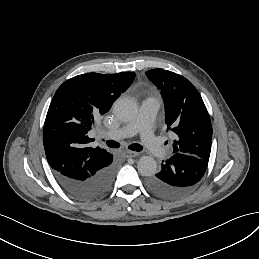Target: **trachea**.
<instances>
[{"label": "trachea", "mask_w": 259, "mask_h": 259, "mask_svg": "<svg viewBox=\"0 0 259 259\" xmlns=\"http://www.w3.org/2000/svg\"><path fill=\"white\" fill-rule=\"evenodd\" d=\"M106 144L110 148H119L120 147V144L116 141H113V140L106 141ZM128 148L130 150H133V151H136V152H140L143 149V147L138 143L131 144V145L128 146Z\"/></svg>", "instance_id": "trachea-1"}]
</instances>
